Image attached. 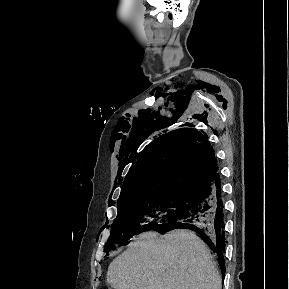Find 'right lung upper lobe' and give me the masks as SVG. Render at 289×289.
I'll use <instances>...</instances> for the list:
<instances>
[{
  "mask_svg": "<svg viewBox=\"0 0 289 289\" xmlns=\"http://www.w3.org/2000/svg\"><path fill=\"white\" fill-rule=\"evenodd\" d=\"M218 179L214 149L206 136L181 128L146 146L125 177L118 203L170 191L199 193Z\"/></svg>",
  "mask_w": 289,
  "mask_h": 289,
  "instance_id": "obj_1",
  "label": "right lung upper lobe"
}]
</instances>
